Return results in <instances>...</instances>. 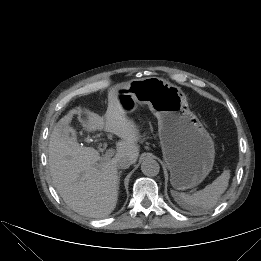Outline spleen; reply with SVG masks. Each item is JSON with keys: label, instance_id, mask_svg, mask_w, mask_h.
<instances>
[{"label": "spleen", "instance_id": "1", "mask_svg": "<svg viewBox=\"0 0 261 261\" xmlns=\"http://www.w3.org/2000/svg\"><path fill=\"white\" fill-rule=\"evenodd\" d=\"M230 179V171L224 170L211 184L203 190L192 195L186 193L173 192L174 199L184 208L191 210L194 214H199L202 210L214 207L219 197L225 192Z\"/></svg>", "mask_w": 261, "mask_h": 261}]
</instances>
